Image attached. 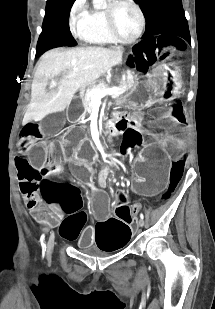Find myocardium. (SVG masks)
<instances>
[{
    "mask_svg": "<svg viewBox=\"0 0 215 309\" xmlns=\"http://www.w3.org/2000/svg\"><path fill=\"white\" fill-rule=\"evenodd\" d=\"M119 7H125L127 9H129L135 18V27H134V32L130 36L129 31H121L120 29L118 30V28L115 25V20L111 19V12H106V20L107 23V28L106 30H109L107 35L109 37H113L116 38L114 40V44L116 45H128V44H132L134 43L141 35L142 30H143V25H144V20H143V15L141 13V11L138 9V7H136L135 5L132 4H121L117 7L115 6H110V11H115L117 8ZM125 38H128L125 40Z\"/></svg>",
    "mask_w": 215,
    "mask_h": 309,
    "instance_id": "obj_1",
    "label": "myocardium"
}]
</instances>
